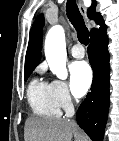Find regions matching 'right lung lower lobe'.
<instances>
[{
	"label": "right lung lower lobe",
	"mask_w": 119,
	"mask_h": 141,
	"mask_svg": "<svg viewBox=\"0 0 119 141\" xmlns=\"http://www.w3.org/2000/svg\"><path fill=\"white\" fill-rule=\"evenodd\" d=\"M90 32L88 57L93 69L91 92L77 111L79 126L93 141H102L109 110V53L104 21Z\"/></svg>",
	"instance_id": "obj_1"
}]
</instances>
